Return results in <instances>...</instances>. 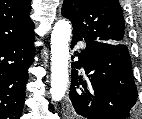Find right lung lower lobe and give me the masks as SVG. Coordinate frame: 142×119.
I'll return each instance as SVG.
<instances>
[{
  "label": "right lung lower lobe",
  "instance_id": "1",
  "mask_svg": "<svg viewBox=\"0 0 142 119\" xmlns=\"http://www.w3.org/2000/svg\"><path fill=\"white\" fill-rule=\"evenodd\" d=\"M34 53V33L0 47V119H20Z\"/></svg>",
  "mask_w": 142,
  "mask_h": 119
}]
</instances>
